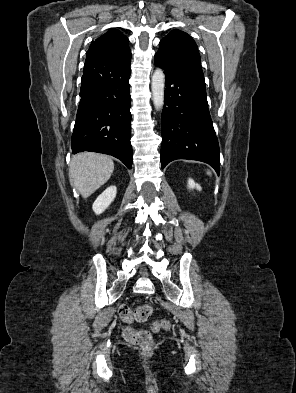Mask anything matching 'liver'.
<instances>
[{
    "label": "liver",
    "instance_id": "6515ba94",
    "mask_svg": "<svg viewBox=\"0 0 296 393\" xmlns=\"http://www.w3.org/2000/svg\"><path fill=\"white\" fill-rule=\"evenodd\" d=\"M114 163L106 155L84 152L72 157L69 179L83 198L89 197L111 177Z\"/></svg>",
    "mask_w": 296,
    "mask_h": 393
}]
</instances>
